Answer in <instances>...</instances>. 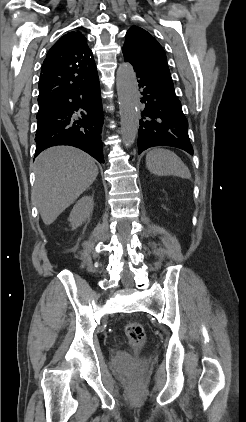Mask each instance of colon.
Listing matches in <instances>:
<instances>
[{
	"label": "colon",
	"instance_id": "1",
	"mask_svg": "<svg viewBox=\"0 0 246 422\" xmlns=\"http://www.w3.org/2000/svg\"><path fill=\"white\" fill-rule=\"evenodd\" d=\"M125 335L130 346L140 349L146 342V334L143 326L136 321H129L125 326Z\"/></svg>",
	"mask_w": 246,
	"mask_h": 422
}]
</instances>
